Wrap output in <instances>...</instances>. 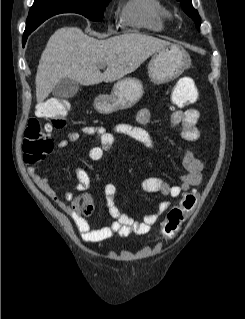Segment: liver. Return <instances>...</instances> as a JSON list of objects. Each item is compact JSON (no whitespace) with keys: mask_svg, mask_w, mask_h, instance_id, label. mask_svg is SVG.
Here are the masks:
<instances>
[{"mask_svg":"<svg viewBox=\"0 0 245 319\" xmlns=\"http://www.w3.org/2000/svg\"><path fill=\"white\" fill-rule=\"evenodd\" d=\"M169 44L142 33L98 40L77 27L58 29L49 38L39 61L36 100L42 104L58 81L66 77L84 86L119 80ZM102 64L107 65L104 73L99 70Z\"/></svg>","mask_w":245,"mask_h":319,"instance_id":"6515ba94","label":"liver"}]
</instances>
